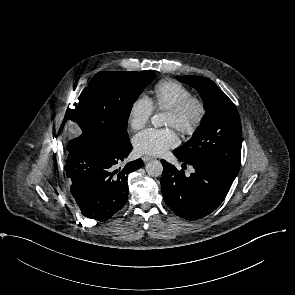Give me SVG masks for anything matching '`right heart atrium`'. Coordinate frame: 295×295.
<instances>
[{
	"mask_svg": "<svg viewBox=\"0 0 295 295\" xmlns=\"http://www.w3.org/2000/svg\"><path fill=\"white\" fill-rule=\"evenodd\" d=\"M154 107L145 94L137 95L128 109V125L132 130H140L149 122Z\"/></svg>",
	"mask_w": 295,
	"mask_h": 295,
	"instance_id": "d8ad5b80",
	"label": "right heart atrium"
}]
</instances>
